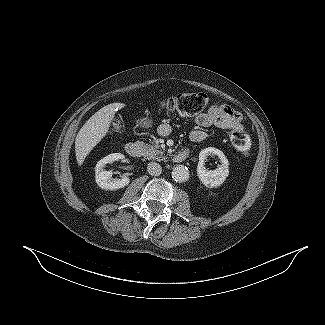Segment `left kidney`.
Returning a JSON list of instances; mask_svg holds the SVG:
<instances>
[{"label":"left kidney","instance_id":"left-kidney-1","mask_svg":"<svg viewBox=\"0 0 325 325\" xmlns=\"http://www.w3.org/2000/svg\"><path fill=\"white\" fill-rule=\"evenodd\" d=\"M210 155H216L220 159L221 164L215 170H207L204 166L205 160ZM197 175L206 187L217 188L229 175V161L221 150L214 147L205 148L199 153Z\"/></svg>","mask_w":325,"mask_h":325}]
</instances>
